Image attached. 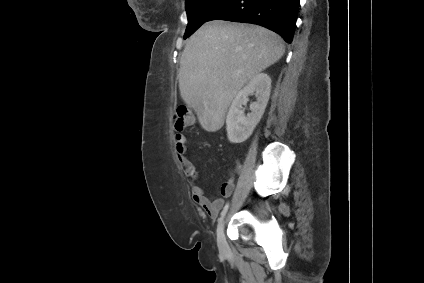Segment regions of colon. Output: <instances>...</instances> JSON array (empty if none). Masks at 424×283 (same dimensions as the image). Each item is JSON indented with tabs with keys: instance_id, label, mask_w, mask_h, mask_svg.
Listing matches in <instances>:
<instances>
[{
	"instance_id": "colon-1",
	"label": "colon",
	"mask_w": 424,
	"mask_h": 283,
	"mask_svg": "<svg viewBox=\"0 0 424 283\" xmlns=\"http://www.w3.org/2000/svg\"><path fill=\"white\" fill-rule=\"evenodd\" d=\"M174 129L177 132L183 131L191 122V113L187 106H179L173 117Z\"/></svg>"
}]
</instances>
